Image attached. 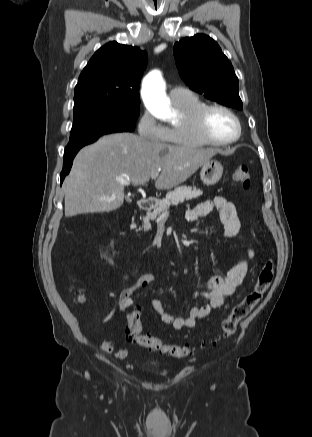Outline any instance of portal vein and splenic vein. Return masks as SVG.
<instances>
[{"label": "portal vein and splenic vein", "mask_w": 312, "mask_h": 437, "mask_svg": "<svg viewBox=\"0 0 312 437\" xmlns=\"http://www.w3.org/2000/svg\"><path fill=\"white\" fill-rule=\"evenodd\" d=\"M159 171H160V169H159ZM158 175H159V172H155V173H153V174L151 175V179H156V178L158 177ZM119 181H120V183H122V184H124V185H129V184H130V182H129L128 180L120 179Z\"/></svg>", "instance_id": "obj_1"}]
</instances>
